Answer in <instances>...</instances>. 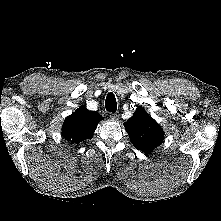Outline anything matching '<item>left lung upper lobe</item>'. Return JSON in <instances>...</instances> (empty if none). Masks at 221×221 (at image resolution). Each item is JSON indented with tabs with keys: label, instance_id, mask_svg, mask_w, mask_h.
<instances>
[{
	"label": "left lung upper lobe",
	"instance_id": "1",
	"mask_svg": "<svg viewBox=\"0 0 221 221\" xmlns=\"http://www.w3.org/2000/svg\"><path fill=\"white\" fill-rule=\"evenodd\" d=\"M124 126L133 145L142 152H152L164 140L161 126L141 107Z\"/></svg>",
	"mask_w": 221,
	"mask_h": 221
}]
</instances>
